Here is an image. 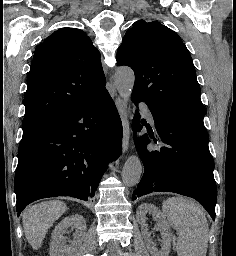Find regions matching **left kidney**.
I'll list each match as a JSON object with an SVG mask.
<instances>
[{
  "label": "left kidney",
  "instance_id": "1",
  "mask_svg": "<svg viewBox=\"0 0 236 256\" xmlns=\"http://www.w3.org/2000/svg\"><path fill=\"white\" fill-rule=\"evenodd\" d=\"M152 214L155 222H157V226L161 232L162 236V244L161 250H157L155 248L156 244L152 242L150 238L149 232H147V224H146V214ZM136 218L138 224H141L142 228V236L145 240L146 248L148 252H150L151 256H169L170 248H171V234L169 230V226L164 218V214L160 212L159 208L153 206V204H141L136 212Z\"/></svg>",
  "mask_w": 236,
  "mask_h": 256
}]
</instances>
